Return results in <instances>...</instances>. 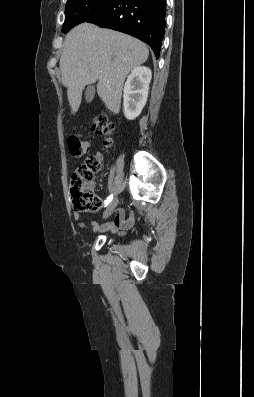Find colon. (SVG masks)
Masks as SVG:
<instances>
[{
	"label": "colon",
	"mask_w": 254,
	"mask_h": 397,
	"mask_svg": "<svg viewBox=\"0 0 254 397\" xmlns=\"http://www.w3.org/2000/svg\"><path fill=\"white\" fill-rule=\"evenodd\" d=\"M92 130L97 135L105 137L104 145L112 146L114 124L106 115L97 116L92 123ZM69 152L74 157H81L88 152L89 143L77 136L68 138ZM102 156L100 154L88 156L83 163L79 164L71 175L70 195L74 209L79 212H93L101 204L100 199L91 191V184L95 174L101 169Z\"/></svg>",
	"instance_id": "5ec220e1"
}]
</instances>
